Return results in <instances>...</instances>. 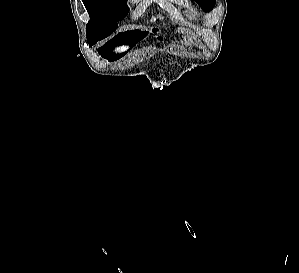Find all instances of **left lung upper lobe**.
I'll return each instance as SVG.
<instances>
[{"mask_svg":"<svg viewBox=\"0 0 299 273\" xmlns=\"http://www.w3.org/2000/svg\"><path fill=\"white\" fill-rule=\"evenodd\" d=\"M205 12H210L214 6L216 0H194Z\"/></svg>","mask_w":299,"mask_h":273,"instance_id":"left-lung-upper-lobe-1","label":"left lung upper lobe"}]
</instances>
